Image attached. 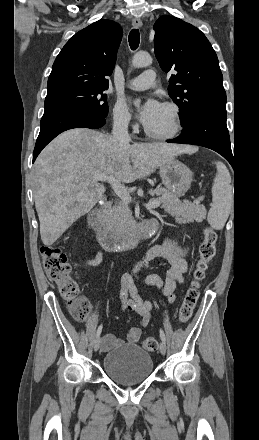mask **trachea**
<instances>
[{"label":"trachea","instance_id":"trachea-1","mask_svg":"<svg viewBox=\"0 0 259 440\" xmlns=\"http://www.w3.org/2000/svg\"><path fill=\"white\" fill-rule=\"evenodd\" d=\"M129 45L132 50H136L140 42V33L138 29H132L128 36Z\"/></svg>","mask_w":259,"mask_h":440}]
</instances>
